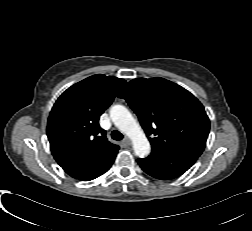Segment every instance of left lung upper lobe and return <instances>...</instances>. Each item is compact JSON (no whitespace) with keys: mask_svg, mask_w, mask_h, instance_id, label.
<instances>
[{"mask_svg":"<svg viewBox=\"0 0 252 231\" xmlns=\"http://www.w3.org/2000/svg\"><path fill=\"white\" fill-rule=\"evenodd\" d=\"M137 114L153 148L182 149L201 155L210 123L189 91L163 78L133 79L120 91Z\"/></svg>","mask_w":252,"mask_h":231,"instance_id":"left-lung-upper-lobe-1","label":"left lung upper lobe"}]
</instances>
